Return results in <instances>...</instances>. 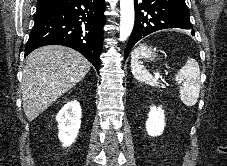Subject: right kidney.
Listing matches in <instances>:
<instances>
[{
  "mask_svg": "<svg viewBox=\"0 0 227 166\" xmlns=\"http://www.w3.org/2000/svg\"><path fill=\"white\" fill-rule=\"evenodd\" d=\"M81 107L78 101L68 102L56 115L58 138L63 147H69L75 141L81 125Z\"/></svg>",
  "mask_w": 227,
  "mask_h": 166,
  "instance_id": "1",
  "label": "right kidney"
}]
</instances>
